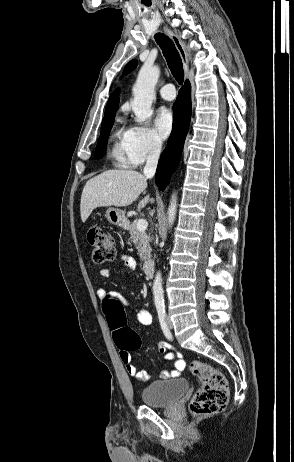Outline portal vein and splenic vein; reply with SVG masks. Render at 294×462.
I'll use <instances>...</instances> for the list:
<instances>
[{
  "mask_svg": "<svg viewBox=\"0 0 294 462\" xmlns=\"http://www.w3.org/2000/svg\"><path fill=\"white\" fill-rule=\"evenodd\" d=\"M148 227V222L145 219H139L137 222V229L140 232H144Z\"/></svg>",
  "mask_w": 294,
  "mask_h": 462,
  "instance_id": "18ae733b",
  "label": "portal vein and splenic vein"
}]
</instances>
